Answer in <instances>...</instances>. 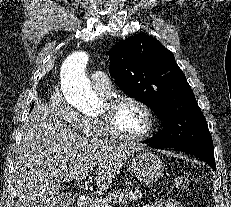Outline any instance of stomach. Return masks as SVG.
<instances>
[{
	"instance_id": "stomach-1",
	"label": "stomach",
	"mask_w": 231,
	"mask_h": 207,
	"mask_svg": "<svg viewBox=\"0 0 231 207\" xmlns=\"http://www.w3.org/2000/svg\"><path fill=\"white\" fill-rule=\"evenodd\" d=\"M165 166L154 153L141 150L131 155V173L140 182L150 184L163 176Z\"/></svg>"
}]
</instances>
